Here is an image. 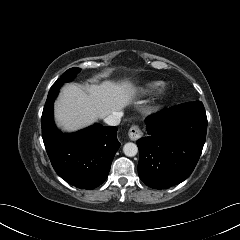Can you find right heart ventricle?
I'll return each instance as SVG.
<instances>
[{
	"label": "right heart ventricle",
	"instance_id": "e07e8e85",
	"mask_svg": "<svg viewBox=\"0 0 240 240\" xmlns=\"http://www.w3.org/2000/svg\"><path fill=\"white\" fill-rule=\"evenodd\" d=\"M159 86H160L159 83H153V84H150V85H149V87H150V88H153V89H156V88H158Z\"/></svg>",
	"mask_w": 240,
	"mask_h": 240
}]
</instances>
